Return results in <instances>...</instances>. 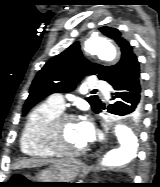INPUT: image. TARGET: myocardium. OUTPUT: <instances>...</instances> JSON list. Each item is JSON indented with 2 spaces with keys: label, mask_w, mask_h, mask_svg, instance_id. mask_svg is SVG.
Wrapping results in <instances>:
<instances>
[{
  "label": "myocardium",
  "mask_w": 160,
  "mask_h": 187,
  "mask_svg": "<svg viewBox=\"0 0 160 187\" xmlns=\"http://www.w3.org/2000/svg\"><path fill=\"white\" fill-rule=\"evenodd\" d=\"M67 120H78L77 116L72 113L61 112L56 115L49 123L46 140L48 147L58 156L62 157H76L83 155L88 146L85 145L81 149L76 151H69L63 147L62 144V125Z\"/></svg>",
  "instance_id": "f54148a6"
}]
</instances>
